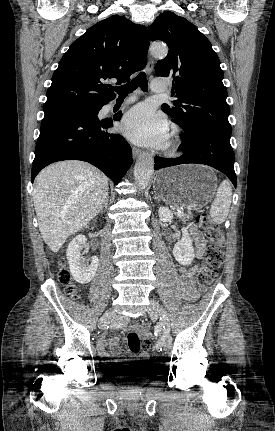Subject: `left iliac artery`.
<instances>
[{
  "label": "left iliac artery",
  "mask_w": 275,
  "mask_h": 431,
  "mask_svg": "<svg viewBox=\"0 0 275 431\" xmlns=\"http://www.w3.org/2000/svg\"><path fill=\"white\" fill-rule=\"evenodd\" d=\"M162 319L167 322L166 323V329H165V332H164V335L167 336L170 333V324H169L168 315H167V313L165 311H162ZM164 335L160 337V339L158 340V342L156 344V348L158 350H160V351L162 350V345H163V342H164Z\"/></svg>",
  "instance_id": "left-iliac-artery-1"
}]
</instances>
